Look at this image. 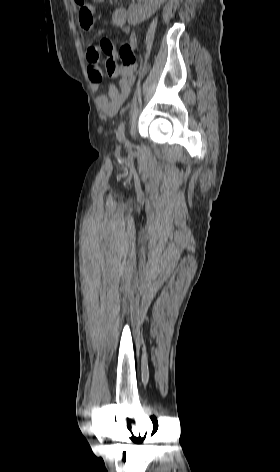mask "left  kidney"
I'll return each instance as SVG.
<instances>
[{
	"mask_svg": "<svg viewBox=\"0 0 280 472\" xmlns=\"http://www.w3.org/2000/svg\"><path fill=\"white\" fill-rule=\"evenodd\" d=\"M165 0H145L143 4H131L128 8V22L136 25L152 16Z\"/></svg>",
	"mask_w": 280,
	"mask_h": 472,
	"instance_id": "left-kidney-1",
	"label": "left kidney"
}]
</instances>
